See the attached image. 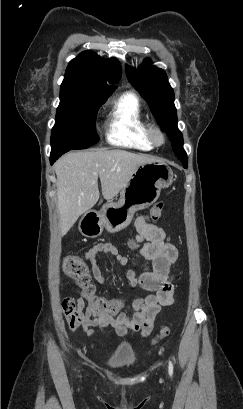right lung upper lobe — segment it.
I'll list each match as a JSON object with an SVG mask.
<instances>
[{
  "instance_id": "1",
  "label": "right lung upper lobe",
  "mask_w": 243,
  "mask_h": 409,
  "mask_svg": "<svg viewBox=\"0 0 243 409\" xmlns=\"http://www.w3.org/2000/svg\"><path fill=\"white\" fill-rule=\"evenodd\" d=\"M122 69L116 58L104 60L92 51H84L71 60L60 88L62 97L108 98L121 79Z\"/></svg>"
}]
</instances>
